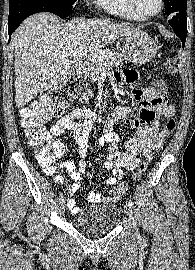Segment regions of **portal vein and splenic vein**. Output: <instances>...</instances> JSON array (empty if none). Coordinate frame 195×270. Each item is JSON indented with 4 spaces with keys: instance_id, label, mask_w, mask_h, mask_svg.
Returning <instances> with one entry per match:
<instances>
[{
    "instance_id": "obj_1",
    "label": "portal vein and splenic vein",
    "mask_w": 195,
    "mask_h": 270,
    "mask_svg": "<svg viewBox=\"0 0 195 270\" xmlns=\"http://www.w3.org/2000/svg\"><path fill=\"white\" fill-rule=\"evenodd\" d=\"M65 53V52H64ZM66 55L73 57H84L93 60L108 61L110 56L105 51H92L87 49H80L66 53Z\"/></svg>"
}]
</instances>
